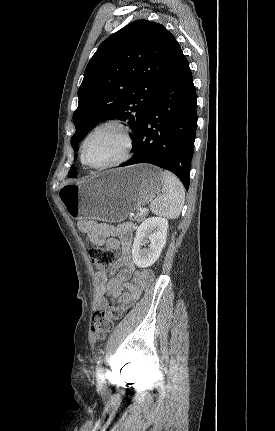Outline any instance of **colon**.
Listing matches in <instances>:
<instances>
[{
  "mask_svg": "<svg viewBox=\"0 0 275 431\" xmlns=\"http://www.w3.org/2000/svg\"><path fill=\"white\" fill-rule=\"evenodd\" d=\"M92 264L99 272H106L112 265L115 255L110 248L93 247L89 251ZM123 311L113 306L97 310L92 318V331L99 339L104 338L122 317Z\"/></svg>",
  "mask_w": 275,
  "mask_h": 431,
  "instance_id": "1",
  "label": "colon"
}]
</instances>
